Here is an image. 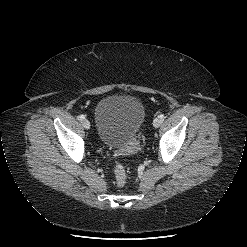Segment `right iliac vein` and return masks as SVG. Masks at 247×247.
Returning a JSON list of instances; mask_svg holds the SVG:
<instances>
[{
  "mask_svg": "<svg viewBox=\"0 0 247 247\" xmlns=\"http://www.w3.org/2000/svg\"><path fill=\"white\" fill-rule=\"evenodd\" d=\"M82 125H83V127H84L85 129H90V122H89L88 119H84V120L82 121Z\"/></svg>",
  "mask_w": 247,
  "mask_h": 247,
  "instance_id": "right-iliac-vein-1",
  "label": "right iliac vein"
}]
</instances>
